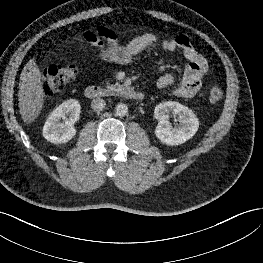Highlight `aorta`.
I'll return each mask as SVG.
<instances>
[{
	"label": "aorta",
	"instance_id": "1",
	"mask_svg": "<svg viewBox=\"0 0 263 263\" xmlns=\"http://www.w3.org/2000/svg\"><path fill=\"white\" fill-rule=\"evenodd\" d=\"M115 113L118 116H125L128 113V107L124 103H119L115 107Z\"/></svg>",
	"mask_w": 263,
	"mask_h": 263
}]
</instances>
